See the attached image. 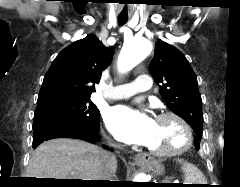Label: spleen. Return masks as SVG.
Instances as JSON below:
<instances>
[{
  "label": "spleen",
  "mask_w": 240,
  "mask_h": 187,
  "mask_svg": "<svg viewBox=\"0 0 240 187\" xmlns=\"http://www.w3.org/2000/svg\"><path fill=\"white\" fill-rule=\"evenodd\" d=\"M182 163V171L184 173V182L185 184H206V180L202 172L193 164L188 162H181Z\"/></svg>",
  "instance_id": "1"
}]
</instances>
